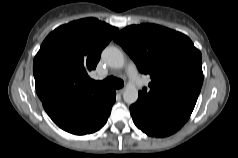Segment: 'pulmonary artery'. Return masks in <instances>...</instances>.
Here are the masks:
<instances>
[{
	"mask_svg": "<svg viewBox=\"0 0 238 158\" xmlns=\"http://www.w3.org/2000/svg\"><path fill=\"white\" fill-rule=\"evenodd\" d=\"M126 73L132 82H134L136 84H138L140 82L138 70L134 63L130 62L127 64Z\"/></svg>",
	"mask_w": 238,
	"mask_h": 158,
	"instance_id": "e3ab8cb5",
	"label": "pulmonary artery"
}]
</instances>
